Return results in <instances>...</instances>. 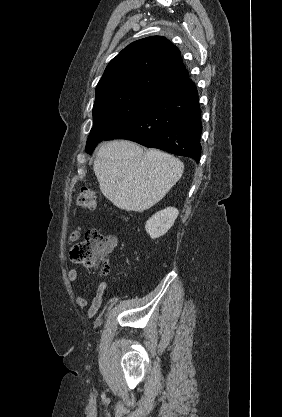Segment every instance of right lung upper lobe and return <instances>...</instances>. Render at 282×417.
I'll use <instances>...</instances> for the list:
<instances>
[{"instance_id":"obj_1","label":"right lung upper lobe","mask_w":282,"mask_h":417,"mask_svg":"<svg viewBox=\"0 0 282 417\" xmlns=\"http://www.w3.org/2000/svg\"><path fill=\"white\" fill-rule=\"evenodd\" d=\"M187 77L178 48L165 37L152 36L129 44L110 61L96 95L129 89L159 92Z\"/></svg>"}]
</instances>
